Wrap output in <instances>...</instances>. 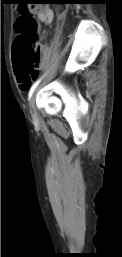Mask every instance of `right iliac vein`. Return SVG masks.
<instances>
[{"instance_id":"right-iliac-vein-1","label":"right iliac vein","mask_w":122,"mask_h":257,"mask_svg":"<svg viewBox=\"0 0 122 257\" xmlns=\"http://www.w3.org/2000/svg\"><path fill=\"white\" fill-rule=\"evenodd\" d=\"M29 108H30V113L32 115L33 118L36 117V109H35V93L31 96L30 98V105H29Z\"/></svg>"}]
</instances>
